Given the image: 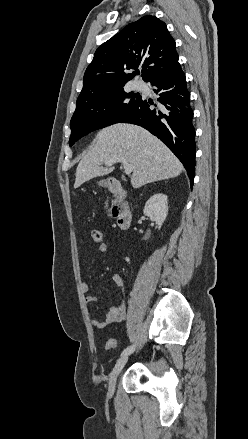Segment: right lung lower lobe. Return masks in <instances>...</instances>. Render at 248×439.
Returning a JSON list of instances; mask_svg holds the SVG:
<instances>
[{"label": "right lung lower lobe", "mask_w": 248, "mask_h": 439, "mask_svg": "<svg viewBox=\"0 0 248 439\" xmlns=\"http://www.w3.org/2000/svg\"><path fill=\"white\" fill-rule=\"evenodd\" d=\"M149 82L159 95L158 104L141 97L119 121L144 127L162 140L184 165L193 186L195 172V129L185 74L180 65Z\"/></svg>", "instance_id": "right-lung-lower-lobe-1"}]
</instances>
